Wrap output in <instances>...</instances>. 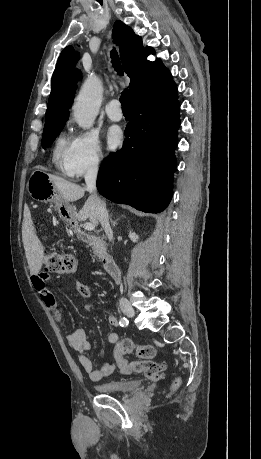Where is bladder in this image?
Listing matches in <instances>:
<instances>
[{"label": "bladder", "mask_w": 261, "mask_h": 459, "mask_svg": "<svg viewBox=\"0 0 261 459\" xmlns=\"http://www.w3.org/2000/svg\"><path fill=\"white\" fill-rule=\"evenodd\" d=\"M140 385L141 382L137 379H115L97 384L95 388L101 393L125 394L138 390Z\"/></svg>", "instance_id": "31cf9c89"}]
</instances>
